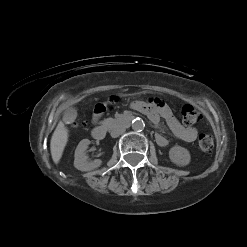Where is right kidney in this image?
<instances>
[{
	"label": "right kidney",
	"mask_w": 247,
	"mask_h": 247,
	"mask_svg": "<svg viewBox=\"0 0 247 247\" xmlns=\"http://www.w3.org/2000/svg\"><path fill=\"white\" fill-rule=\"evenodd\" d=\"M89 144L90 140L83 139L80 141L75 150L74 167L80 171H91L100 167V165L102 164V161L100 159H96L91 162L88 161L86 150Z\"/></svg>",
	"instance_id": "right-kidney-1"
}]
</instances>
